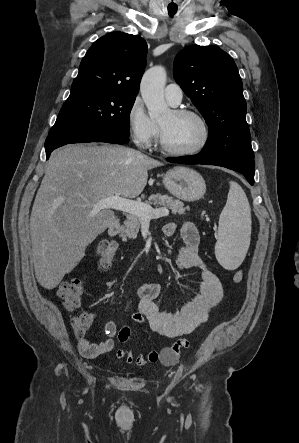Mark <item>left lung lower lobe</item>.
<instances>
[{"label":"left lung lower lobe","instance_id":"0a47b994","mask_svg":"<svg viewBox=\"0 0 299 443\" xmlns=\"http://www.w3.org/2000/svg\"><path fill=\"white\" fill-rule=\"evenodd\" d=\"M167 161L173 163L207 164V165H216V166L225 167L243 174L251 185L254 184V170H255L254 159L220 161L205 157L199 153L191 156L167 158Z\"/></svg>","mask_w":299,"mask_h":443}]
</instances>
